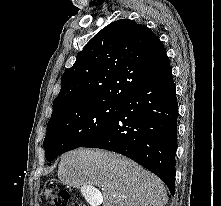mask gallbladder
<instances>
[{"label":"gallbladder","instance_id":"gallbladder-1","mask_svg":"<svg viewBox=\"0 0 221 206\" xmlns=\"http://www.w3.org/2000/svg\"><path fill=\"white\" fill-rule=\"evenodd\" d=\"M81 194L84 198H87V205L101 206L102 202H105L103 193H98V189H92V185H83Z\"/></svg>","mask_w":221,"mask_h":206}]
</instances>
